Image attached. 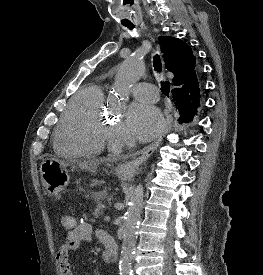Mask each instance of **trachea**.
<instances>
[{"instance_id":"3493384b","label":"trachea","mask_w":263,"mask_h":275,"mask_svg":"<svg viewBox=\"0 0 263 275\" xmlns=\"http://www.w3.org/2000/svg\"><path fill=\"white\" fill-rule=\"evenodd\" d=\"M129 29L132 30L133 27H129ZM153 66H154L155 71L161 72L162 65H161V60H160L159 55L154 56ZM161 91L164 95L169 97L170 83L167 81L161 82Z\"/></svg>"}]
</instances>
